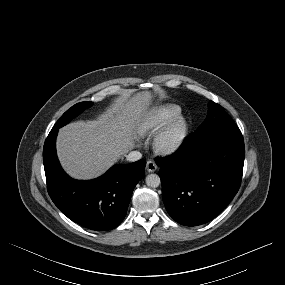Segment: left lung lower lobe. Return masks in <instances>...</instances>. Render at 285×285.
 <instances>
[{
  "label": "left lung lower lobe",
  "mask_w": 285,
  "mask_h": 285,
  "mask_svg": "<svg viewBox=\"0 0 285 285\" xmlns=\"http://www.w3.org/2000/svg\"><path fill=\"white\" fill-rule=\"evenodd\" d=\"M244 157L240 135L209 140L188 137L174 156L157 159L169 215L185 226L215 218L239 190Z\"/></svg>",
  "instance_id": "1"
}]
</instances>
